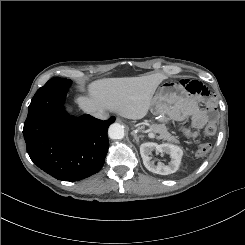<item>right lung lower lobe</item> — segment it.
Returning <instances> with one entry per match:
<instances>
[{"instance_id":"obj_1","label":"right lung lower lobe","mask_w":245,"mask_h":245,"mask_svg":"<svg viewBox=\"0 0 245 245\" xmlns=\"http://www.w3.org/2000/svg\"><path fill=\"white\" fill-rule=\"evenodd\" d=\"M71 82L50 80L28 107L23 135L31 160L63 181H79L97 173L109 148L107 130L115 117L69 116L64 101Z\"/></svg>"}]
</instances>
